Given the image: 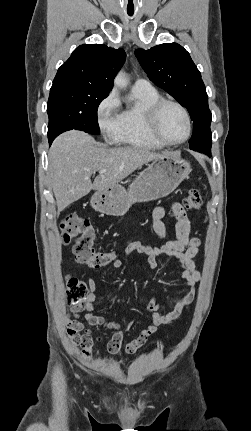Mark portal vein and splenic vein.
<instances>
[{"instance_id":"18ae733b","label":"portal vein and splenic vein","mask_w":251,"mask_h":431,"mask_svg":"<svg viewBox=\"0 0 251 431\" xmlns=\"http://www.w3.org/2000/svg\"><path fill=\"white\" fill-rule=\"evenodd\" d=\"M105 172H106L105 169L99 171V173H105Z\"/></svg>"}]
</instances>
